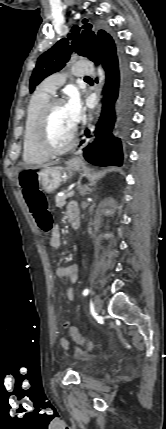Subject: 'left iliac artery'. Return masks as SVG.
<instances>
[{
	"label": "left iliac artery",
	"instance_id": "obj_1",
	"mask_svg": "<svg viewBox=\"0 0 166 429\" xmlns=\"http://www.w3.org/2000/svg\"><path fill=\"white\" fill-rule=\"evenodd\" d=\"M88 293H89V289H85V290L83 291V295H84V296H87V295H88Z\"/></svg>",
	"mask_w": 166,
	"mask_h": 429
}]
</instances>
